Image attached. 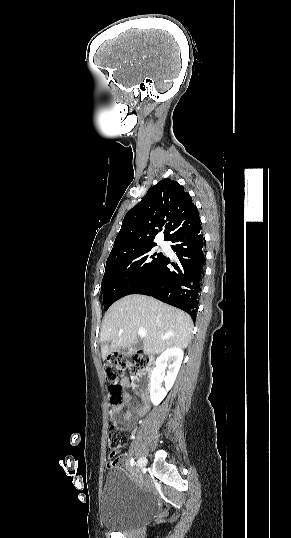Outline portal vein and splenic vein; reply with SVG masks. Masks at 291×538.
Segmentation results:
<instances>
[{
  "instance_id": "1",
  "label": "portal vein and splenic vein",
  "mask_w": 291,
  "mask_h": 538,
  "mask_svg": "<svg viewBox=\"0 0 291 538\" xmlns=\"http://www.w3.org/2000/svg\"><path fill=\"white\" fill-rule=\"evenodd\" d=\"M138 335H139L140 337H144V336H146V330H144V329H139V330H138Z\"/></svg>"
}]
</instances>
